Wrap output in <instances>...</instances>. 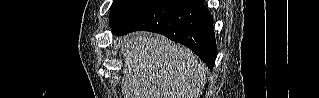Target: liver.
<instances>
[{
	"label": "liver",
	"instance_id": "liver-1",
	"mask_svg": "<svg viewBox=\"0 0 319 98\" xmlns=\"http://www.w3.org/2000/svg\"><path fill=\"white\" fill-rule=\"evenodd\" d=\"M124 98H198L206 68L186 47L152 33L119 38Z\"/></svg>",
	"mask_w": 319,
	"mask_h": 98
}]
</instances>
